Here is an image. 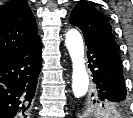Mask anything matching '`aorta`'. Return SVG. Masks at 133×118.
<instances>
[{
    "label": "aorta",
    "mask_w": 133,
    "mask_h": 118,
    "mask_svg": "<svg viewBox=\"0 0 133 118\" xmlns=\"http://www.w3.org/2000/svg\"><path fill=\"white\" fill-rule=\"evenodd\" d=\"M65 44L72 60V90L76 98L88 92L89 76L85 67L84 43L81 34L71 29L66 33Z\"/></svg>",
    "instance_id": "obj_1"
}]
</instances>
